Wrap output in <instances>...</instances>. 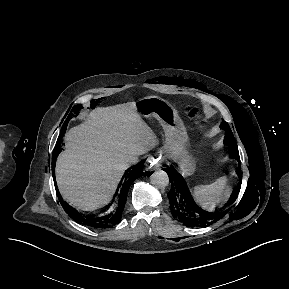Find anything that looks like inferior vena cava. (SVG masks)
Listing matches in <instances>:
<instances>
[{"instance_id":"obj_1","label":"inferior vena cava","mask_w":289,"mask_h":289,"mask_svg":"<svg viewBox=\"0 0 289 289\" xmlns=\"http://www.w3.org/2000/svg\"><path fill=\"white\" fill-rule=\"evenodd\" d=\"M138 162V158L137 157H132L130 160H129V165L131 164H136Z\"/></svg>"}]
</instances>
